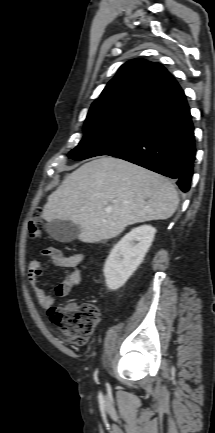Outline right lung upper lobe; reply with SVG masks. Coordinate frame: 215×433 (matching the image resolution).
I'll list each match as a JSON object with an SVG mask.
<instances>
[{
  "label": "right lung upper lobe",
  "instance_id": "right-lung-upper-lobe-1",
  "mask_svg": "<svg viewBox=\"0 0 215 433\" xmlns=\"http://www.w3.org/2000/svg\"><path fill=\"white\" fill-rule=\"evenodd\" d=\"M183 92L159 63L131 60L118 70L92 104L86 122L121 116H147Z\"/></svg>",
  "mask_w": 215,
  "mask_h": 433
}]
</instances>
